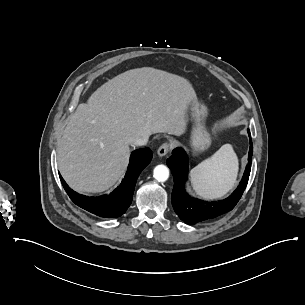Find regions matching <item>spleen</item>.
Wrapping results in <instances>:
<instances>
[{"instance_id":"3e777b00","label":"spleen","mask_w":305,"mask_h":305,"mask_svg":"<svg viewBox=\"0 0 305 305\" xmlns=\"http://www.w3.org/2000/svg\"><path fill=\"white\" fill-rule=\"evenodd\" d=\"M239 161L231 144H224L211 158L193 168L191 184L204 199H219L236 184Z\"/></svg>"}]
</instances>
